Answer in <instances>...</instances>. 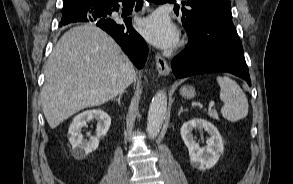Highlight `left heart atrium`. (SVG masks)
Listing matches in <instances>:
<instances>
[{"mask_svg":"<svg viewBox=\"0 0 293 184\" xmlns=\"http://www.w3.org/2000/svg\"><path fill=\"white\" fill-rule=\"evenodd\" d=\"M139 29L151 43L162 48L172 47L178 40L176 27L163 13H154L145 18Z\"/></svg>","mask_w":293,"mask_h":184,"instance_id":"left-heart-atrium-1","label":"left heart atrium"}]
</instances>
